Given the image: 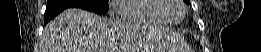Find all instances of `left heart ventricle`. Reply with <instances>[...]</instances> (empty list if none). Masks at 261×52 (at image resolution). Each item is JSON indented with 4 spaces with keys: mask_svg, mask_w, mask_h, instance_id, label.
<instances>
[{
    "mask_svg": "<svg viewBox=\"0 0 261 52\" xmlns=\"http://www.w3.org/2000/svg\"><path fill=\"white\" fill-rule=\"evenodd\" d=\"M181 16H182V10L179 7L175 8L169 13V18L172 20H177L181 18Z\"/></svg>",
    "mask_w": 261,
    "mask_h": 52,
    "instance_id": "left-heart-ventricle-1",
    "label": "left heart ventricle"
}]
</instances>
